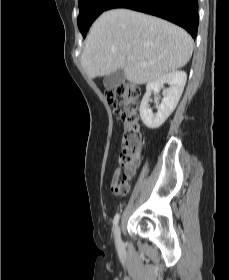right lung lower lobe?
I'll use <instances>...</instances> for the list:
<instances>
[{
	"label": "right lung lower lobe",
	"mask_w": 229,
	"mask_h": 280,
	"mask_svg": "<svg viewBox=\"0 0 229 280\" xmlns=\"http://www.w3.org/2000/svg\"><path fill=\"white\" fill-rule=\"evenodd\" d=\"M128 8L161 17L187 30L193 38L198 30V0H114L107 10Z\"/></svg>",
	"instance_id": "1"
}]
</instances>
